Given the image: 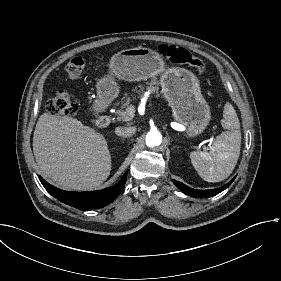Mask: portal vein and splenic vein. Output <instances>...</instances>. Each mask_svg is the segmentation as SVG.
<instances>
[{
    "label": "portal vein and splenic vein",
    "mask_w": 281,
    "mask_h": 281,
    "mask_svg": "<svg viewBox=\"0 0 281 281\" xmlns=\"http://www.w3.org/2000/svg\"><path fill=\"white\" fill-rule=\"evenodd\" d=\"M134 103H135V101H134ZM136 108L135 107H130L129 109H128V111L126 112V114H125V116H124V118H123V123L124 124H129L130 123V121H131V119H132V117L135 115V113H136ZM204 145H208V146H211L212 145V138L211 137H208L206 140H201L200 142H199V146L200 147H203Z\"/></svg>",
    "instance_id": "18ae733b"
}]
</instances>
